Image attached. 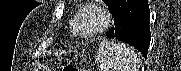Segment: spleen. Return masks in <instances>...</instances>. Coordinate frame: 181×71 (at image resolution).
<instances>
[{"instance_id":"1","label":"spleen","mask_w":181,"mask_h":71,"mask_svg":"<svg viewBox=\"0 0 181 71\" xmlns=\"http://www.w3.org/2000/svg\"><path fill=\"white\" fill-rule=\"evenodd\" d=\"M101 71H138L139 58L125 44L103 40L95 56Z\"/></svg>"}]
</instances>
